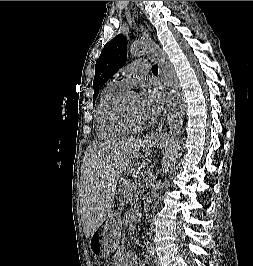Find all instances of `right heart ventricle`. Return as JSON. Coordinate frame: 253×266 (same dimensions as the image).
I'll return each mask as SVG.
<instances>
[{"label": "right heart ventricle", "instance_id": "e07e8e85", "mask_svg": "<svg viewBox=\"0 0 253 266\" xmlns=\"http://www.w3.org/2000/svg\"><path fill=\"white\" fill-rule=\"evenodd\" d=\"M126 89V86L114 79L102 91L95 115L97 135L101 139H113L128 133L112 117L113 107Z\"/></svg>", "mask_w": 253, "mask_h": 266}]
</instances>
